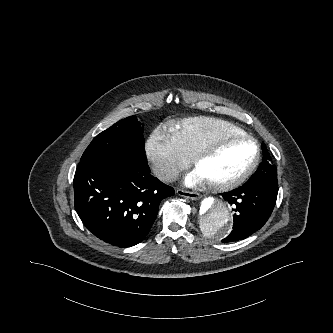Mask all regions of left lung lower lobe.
Masks as SVG:
<instances>
[{
  "label": "left lung lower lobe",
  "instance_id": "0a47b994",
  "mask_svg": "<svg viewBox=\"0 0 333 333\" xmlns=\"http://www.w3.org/2000/svg\"><path fill=\"white\" fill-rule=\"evenodd\" d=\"M263 154H269L262 143ZM278 186L267 184H244L243 186L222 194L233 206L234 224L229 236L222 242L237 241L256 232L269 219L276 203Z\"/></svg>",
  "mask_w": 333,
  "mask_h": 333
}]
</instances>
